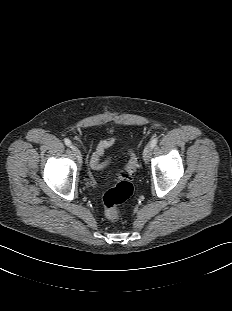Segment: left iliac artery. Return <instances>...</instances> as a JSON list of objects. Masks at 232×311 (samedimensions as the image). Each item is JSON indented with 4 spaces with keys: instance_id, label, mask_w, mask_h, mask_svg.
<instances>
[{
    "instance_id": "obj_1",
    "label": "left iliac artery",
    "mask_w": 232,
    "mask_h": 311,
    "mask_svg": "<svg viewBox=\"0 0 232 311\" xmlns=\"http://www.w3.org/2000/svg\"><path fill=\"white\" fill-rule=\"evenodd\" d=\"M157 142H158V139H157V138L152 139L151 142H150V146H151L152 148H154V147L156 146Z\"/></svg>"
}]
</instances>
